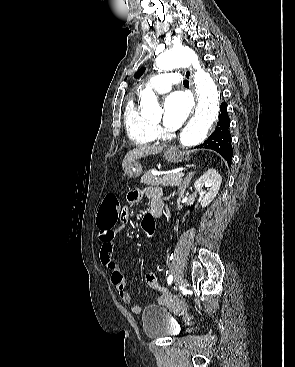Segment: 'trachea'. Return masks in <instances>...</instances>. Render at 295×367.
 Listing matches in <instances>:
<instances>
[{
    "mask_svg": "<svg viewBox=\"0 0 295 367\" xmlns=\"http://www.w3.org/2000/svg\"><path fill=\"white\" fill-rule=\"evenodd\" d=\"M183 85H184V86H186V87H189V82H188V80H184V81H183Z\"/></svg>",
    "mask_w": 295,
    "mask_h": 367,
    "instance_id": "trachea-1",
    "label": "trachea"
}]
</instances>
